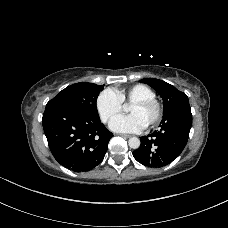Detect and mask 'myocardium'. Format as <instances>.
Instances as JSON below:
<instances>
[{
	"label": "myocardium",
	"mask_w": 228,
	"mask_h": 228,
	"mask_svg": "<svg viewBox=\"0 0 228 228\" xmlns=\"http://www.w3.org/2000/svg\"><path fill=\"white\" fill-rule=\"evenodd\" d=\"M132 105L142 107V108L153 107L155 109V116L152 119V121L146 125L147 127L149 128L155 127L161 121L163 116V105L158 99L151 98V99L137 100L132 102Z\"/></svg>",
	"instance_id": "obj_1"
}]
</instances>
